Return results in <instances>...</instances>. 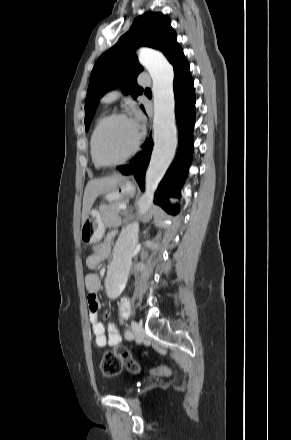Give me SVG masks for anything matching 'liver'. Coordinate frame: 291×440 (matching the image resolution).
<instances>
[{
	"label": "liver",
	"instance_id": "liver-1",
	"mask_svg": "<svg viewBox=\"0 0 291 440\" xmlns=\"http://www.w3.org/2000/svg\"><path fill=\"white\" fill-rule=\"evenodd\" d=\"M124 179L125 178L122 175L115 174L101 179H94L87 183L83 196L82 224L84 223L96 198L101 194H105L113 190L118 183Z\"/></svg>",
	"mask_w": 291,
	"mask_h": 440
}]
</instances>
